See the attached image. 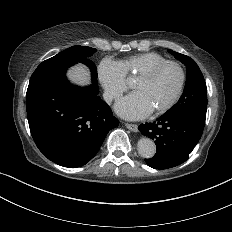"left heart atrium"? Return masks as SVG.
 <instances>
[{
	"label": "left heart atrium",
	"mask_w": 232,
	"mask_h": 232,
	"mask_svg": "<svg viewBox=\"0 0 232 232\" xmlns=\"http://www.w3.org/2000/svg\"><path fill=\"white\" fill-rule=\"evenodd\" d=\"M153 111L154 109L152 106L138 91H134L126 97L120 99L115 105L116 114L128 120L145 118Z\"/></svg>",
	"instance_id": "obj_1"
}]
</instances>
